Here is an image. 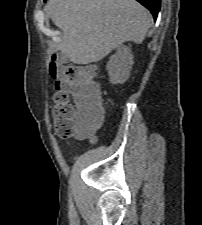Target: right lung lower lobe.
Masks as SVG:
<instances>
[{
    "mask_svg": "<svg viewBox=\"0 0 202 225\" xmlns=\"http://www.w3.org/2000/svg\"><path fill=\"white\" fill-rule=\"evenodd\" d=\"M137 1L150 10V12L154 16V19L157 18L158 12L160 10L161 0H137Z\"/></svg>",
    "mask_w": 202,
    "mask_h": 225,
    "instance_id": "obj_1",
    "label": "right lung lower lobe"
}]
</instances>
